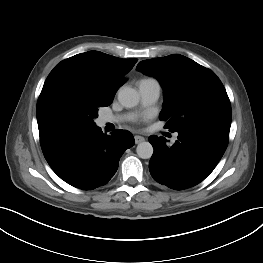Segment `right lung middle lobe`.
Masks as SVG:
<instances>
[{"mask_svg": "<svg viewBox=\"0 0 263 263\" xmlns=\"http://www.w3.org/2000/svg\"><path fill=\"white\" fill-rule=\"evenodd\" d=\"M112 101L80 78L60 77L44 83L36 109L39 135L93 128L98 108Z\"/></svg>", "mask_w": 263, "mask_h": 263, "instance_id": "right-lung-middle-lobe-1", "label": "right lung middle lobe"}]
</instances>
